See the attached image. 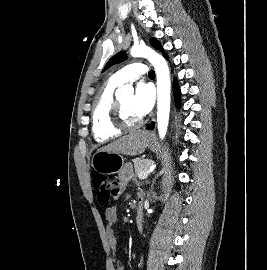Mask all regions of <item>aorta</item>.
<instances>
[{
  "mask_svg": "<svg viewBox=\"0 0 267 270\" xmlns=\"http://www.w3.org/2000/svg\"><path fill=\"white\" fill-rule=\"evenodd\" d=\"M132 57H144L149 60L156 71L157 76V124L160 139H164L167 133L170 113V72L163 56L146 45L133 46L130 50ZM134 89L131 85H123L117 90L118 97L132 95Z\"/></svg>",
  "mask_w": 267,
  "mask_h": 270,
  "instance_id": "1",
  "label": "aorta"
}]
</instances>
